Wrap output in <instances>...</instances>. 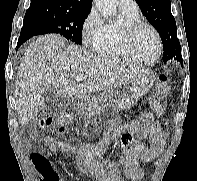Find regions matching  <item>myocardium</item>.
I'll return each mask as SVG.
<instances>
[{
    "label": "myocardium",
    "mask_w": 197,
    "mask_h": 181,
    "mask_svg": "<svg viewBox=\"0 0 197 181\" xmlns=\"http://www.w3.org/2000/svg\"><path fill=\"white\" fill-rule=\"evenodd\" d=\"M143 27L149 28L153 32V34L155 35V37L157 39L158 51H157L156 56L152 59L141 58L136 53L135 48H134L135 36H136L137 32ZM121 39H122V44H123L124 49L127 51V53L131 56L132 59H134L138 62L145 63V64H152V63H155L156 61H158L162 55L163 43H162L161 36H160L158 30L151 23H149L147 21L140 19V20H137V21H134V22H131V23L125 25L122 29Z\"/></svg>",
    "instance_id": "f54148a6"
}]
</instances>
